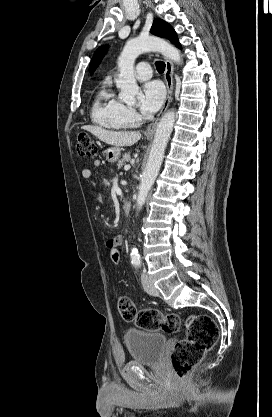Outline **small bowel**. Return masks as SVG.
Segmentation results:
<instances>
[{"label": "small bowel", "mask_w": 272, "mask_h": 417, "mask_svg": "<svg viewBox=\"0 0 272 417\" xmlns=\"http://www.w3.org/2000/svg\"><path fill=\"white\" fill-rule=\"evenodd\" d=\"M102 165V162L100 160H95L93 162V166L95 168L100 167ZM81 175L84 179H90L93 175V172L90 168H84L81 171ZM114 242H118L119 244L122 243V236L121 235H116L113 238L109 239L106 243V245L110 244V243H114Z\"/></svg>", "instance_id": "small-bowel-1"}]
</instances>
